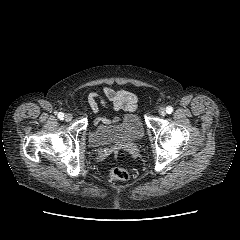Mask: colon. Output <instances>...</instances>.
I'll list each match as a JSON object with an SVG mask.
<instances>
[{
  "label": "colon",
  "instance_id": "1",
  "mask_svg": "<svg viewBox=\"0 0 240 240\" xmlns=\"http://www.w3.org/2000/svg\"><path fill=\"white\" fill-rule=\"evenodd\" d=\"M109 177L114 181L125 182L129 180L130 175L127 170L121 167H114L109 171Z\"/></svg>",
  "mask_w": 240,
  "mask_h": 240
}]
</instances>
